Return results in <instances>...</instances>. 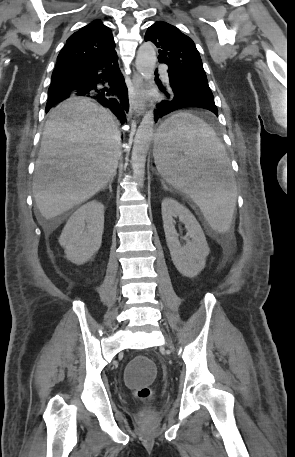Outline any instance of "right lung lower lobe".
Masks as SVG:
<instances>
[{
  "mask_svg": "<svg viewBox=\"0 0 295 457\" xmlns=\"http://www.w3.org/2000/svg\"><path fill=\"white\" fill-rule=\"evenodd\" d=\"M117 60L114 51L94 62L55 67L46 112L70 96H87L108 107L123 122L129 110L128 91Z\"/></svg>",
  "mask_w": 295,
  "mask_h": 457,
  "instance_id": "obj_1",
  "label": "right lung lower lobe"
}]
</instances>
